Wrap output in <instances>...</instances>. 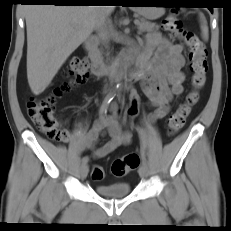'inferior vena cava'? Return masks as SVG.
Returning <instances> with one entry per match:
<instances>
[{"label":"inferior vena cava","instance_id":"obj_1","mask_svg":"<svg viewBox=\"0 0 231 231\" xmlns=\"http://www.w3.org/2000/svg\"><path fill=\"white\" fill-rule=\"evenodd\" d=\"M109 13L110 12L107 6L97 7L96 29L98 32V38L104 43L108 42V38H109V33L107 29Z\"/></svg>","mask_w":231,"mask_h":231}]
</instances>
